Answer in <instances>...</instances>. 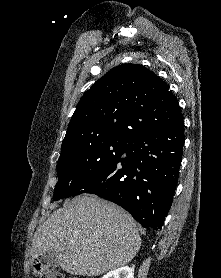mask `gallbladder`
Listing matches in <instances>:
<instances>
[{
	"mask_svg": "<svg viewBox=\"0 0 221 278\" xmlns=\"http://www.w3.org/2000/svg\"><path fill=\"white\" fill-rule=\"evenodd\" d=\"M41 259L46 265H48L50 267L59 266V261H58L57 254L53 251H49V252L44 253L41 256Z\"/></svg>",
	"mask_w": 221,
	"mask_h": 278,
	"instance_id": "1",
	"label": "gallbladder"
}]
</instances>
